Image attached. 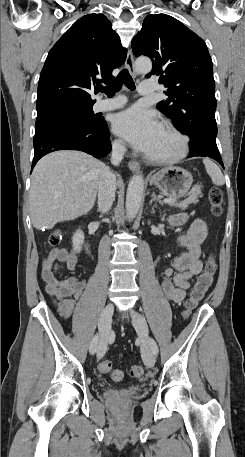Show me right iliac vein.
I'll return each mask as SVG.
<instances>
[{"label": "right iliac vein", "mask_w": 245, "mask_h": 457, "mask_svg": "<svg viewBox=\"0 0 245 457\" xmlns=\"http://www.w3.org/2000/svg\"><path fill=\"white\" fill-rule=\"evenodd\" d=\"M114 307L112 303H109L105 306L103 309L99 323H98V328L100 332V337L98 340V347H97V358L101 359L103 358L106 350H107V345H108V339H109V328H110V323L113 315Z\"/></svg>", "instance_id": "1"}]
</instances>
